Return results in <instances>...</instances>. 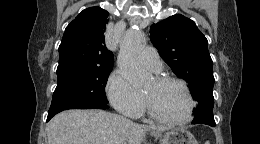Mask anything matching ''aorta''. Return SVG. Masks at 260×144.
<instances>
[{
    "label": "aorta",
    "mask_w": 260,
    "mask_h": 144,
    "mask_svg": "<svg viewBox=\"0 0 260 144\" xmlns=\"http://www.w3.org/2000/svg\"><path fill=\"white\" fill-rule=\"evenodd\" d=\"M143 47L144 34L140 30H127L120 39V52L117 64L123 76L134 86L142 85L150 77L138 62V56Z\"/></svg>",
    "instance_id": "obj_1"
}]
</instances>
